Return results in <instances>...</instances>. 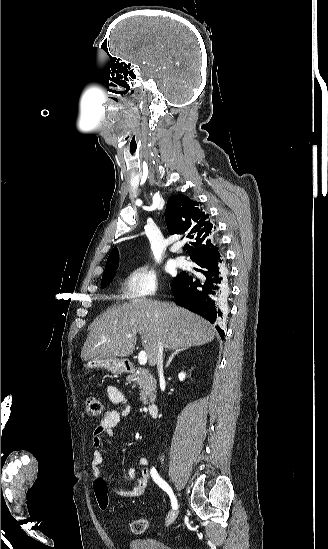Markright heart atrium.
Masks as SVG:
<instances>
[{"label":"right heart atrium","instance_id":"d8ad5b80","mask_svg":"<svg viewBox=\"0 0 328 549\" xmlns=\"http://www.w3.org/2000/svg\"><path fill=\"white\" fill-rule=\"evenodd\" d=\"M155 265L142 261L128 267L122 274L121 294L125 303H154L149 300L157 290Z\"/></svg>","mask_w":328,"mask_h":549}]
</instances>
